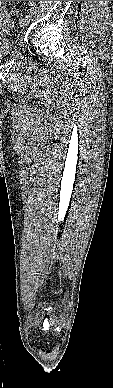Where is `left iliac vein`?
Returning a JSON list of instances; mask_svg holds the SVG:
<instances>
[{"label":"left iliac vein","mask_w":113,"mask_h":388,"mask_svg":"<svg viewBox=\"0 0 113 388\" xmlns=\"http://www.w3.org/2000/svg\"><path fill=\"white\" fill-rule=\"evenodd\" d=\"M19 23L22 28H26L29 24V19H27L26 17H23L19 20Z\"/></svg>","instance_id":"1"}]
</instances>
